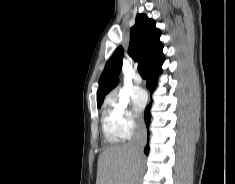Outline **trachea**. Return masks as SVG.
<instances>
[{
    "label": "trachea",
    "instance_id": "3493384b",
    "mask_svg": "<svg viewBox=\"0 0 235 184\" xmlns=\"http://www.w3.org/2000/svg\"><path fill=\"white\" fill-rule=\"evenodd\" d=\"M138 71L142 77H146L145 64L144 62H139Z\"/></svg>",
    "mask_w": 235,
    "mask_h": 184
}]
</instances>
